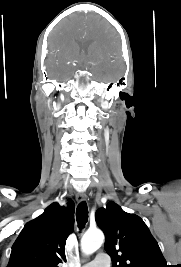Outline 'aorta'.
Returning a JSON list of instances; mask_svg holds the SVG:
<instances>
[{"instance_id": "762f6f07", "label": "aorta", "mask_w": 181, "mask_h": 267, "mask_svg": "<svg viewBox=\"0 0 181 267\" xmlns=\"http://www.w3.org/2000/svg\"><path fill=\"white\" fill-rule=\"evenodd\" d=\"M104 243V234L100 230H88L81 239V249L85 255L98 250Z\"/></svg>"}]
</instances>
